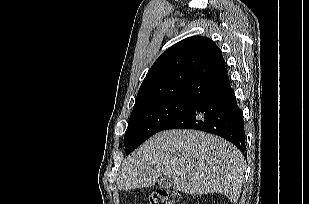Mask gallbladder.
Segmentation results:
<instances>
[{
	"label": "gallbladder",
	"instance_id": "1",
	"mask_svg": "<svg viewBox=\"0 0 309 204\" xmlns=\"http://www.w3.org/2000/svg\"><path fill=\"white\" fill-rule=\"evenodd\" d=\"M172 184L173 180L168 176H162L158 179V186L162 189H168Z\"/></svg>",
	"mask_w": 309,
	"mask_h": 204
}]
</instances>
